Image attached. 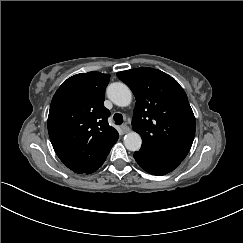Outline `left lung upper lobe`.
I'll list each match as a JSON object with an SVG mask.
<instances>
[{
  "label": "left lung upper lobe",
  "mask_w": 243,
  "mask_h": 243,
  "mask_svg": "<svg viewBox=\"0 0 243 243\" xmlns=\"http://www.w3.org/2000/svg\"><path fill=\"white\" fill-rule=\"evenodd\" d=\"M136 98L132 128L142 138L141 150L182 162L195 135L196 121L187 95L168 74L153 68L117 73Z\"/></svg>",
  "instance_id": "left-lung-upper-lobe-1"
}]
</instances>
